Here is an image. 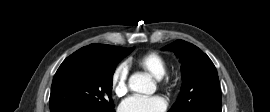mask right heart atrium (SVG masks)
<instances>
[{"label": "right heart atrium", "instance_id": "d8ad5b80", "mask_svg": "<svg viewBox=\"0 0 270 112\" xmlns=\"http://www.w3.org/2000/svg\"><path fill=\"white\" fill-rule=\"evenodd\" d=\"M129 68L126 63L118 64L112 71L110 84L112 92L115 96L121 97L126 94L128 86Z\"/></svg>", "mask_w": 270, "mask_h": 112}]
</instances>
